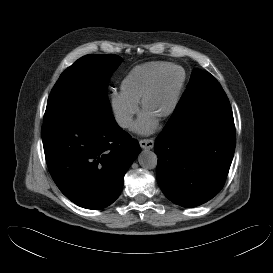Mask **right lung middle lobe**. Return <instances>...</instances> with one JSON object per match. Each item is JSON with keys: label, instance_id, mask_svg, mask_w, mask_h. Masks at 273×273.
Here are the masks:
<instances>
[{"label": "right lung middle lobe", "instance_id": "dd1d6c3e", "mask_svg": "<svg viewBox=\"0 0 273 273\" xmlns=\"http://www.w3.org/2000/svg\"><path fill=\"white\" fill-rule=\"evenodd\" d=\"M117 55H86L67 68L54 85L44 119L66 108H98L111 111L107 87L121 63Z\"/></svg>", "mask_w": 273, "mask_h": 273}]
</instances>
